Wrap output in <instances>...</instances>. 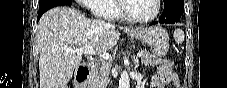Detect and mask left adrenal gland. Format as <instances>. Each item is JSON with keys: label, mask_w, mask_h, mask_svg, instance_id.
<instances>
[{"label": "left adrenal gland", "mask_w": 227, "mask_h": 88, "mask_svg": "<svg viewBox=\"0 0 227 88\" xmlns=\"http://www.w3.org/2000/svg\"><path fill=\"white\" fill-rule=\"evenodd\" d=\"M135 64H137V66H139V61H138V59L135 60Z\"/></svg>", "instance_id": "obj_1"}]
</instances>
